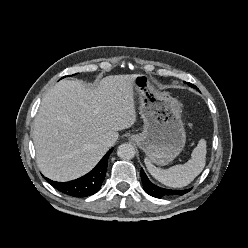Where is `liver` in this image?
<instances>
[{
	"label": "liver",
	"instance_id": "1",
	"mask_svg": "<svg viewBox=\"0 0 248 248\" xmlns=\"http://www.w3.org/2000/svg\"><path fill=\"white\" fill-rule=\"evenodd\" d=\"M136 74L110 75L94 89L62 80L43 97L34 120L33 141L41 172L65 182L88 173L109 147L106 138L136 122Z\"/></svg>",
	"mask_w": 248,
	"mask_h": 248
}]
</instances>
